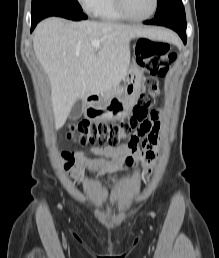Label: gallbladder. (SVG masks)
<instances>
[{"instance_id":"bac80fb5","label":"gallbladder","mask_w":219,"mask_h":258,"mask_svg":"<svg viewBox=\"0 0 219 258\" xmlns=\"http://www.w3.org/2000/svg\"><path fill=\"white\" fill-rule=\"evenodd\" d=\"M82 113H83V104H82L81 100L78 99L74 103V105L70 111L69 118L72 120H77L82 116Z\"/></svg>"}]
</instances>
